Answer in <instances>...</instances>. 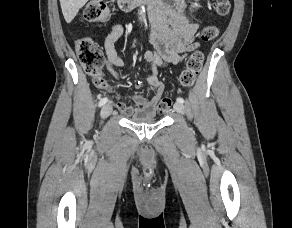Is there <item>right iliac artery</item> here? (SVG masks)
I'll return each instance as SVG.
<instances>
[{"label": "right iliac artery", "mask_w": 292, "mask_h": 228, "mask_svg": "<svg viewBox=\"0 0 292 228\" xmlns=\"http://www.w3.org/2000/svg\"><path fill=\"white\" fill-rule=\"evenodd\" d=\"M108 101V99L105 97V98H102L99 102V106H103L104 104H106V102Z\"/></svg>", "instance_id": "right-iliac-artery-1"}]
</instances>
